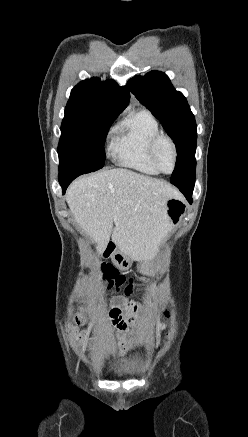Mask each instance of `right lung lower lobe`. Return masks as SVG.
Returning a JSON list of instances; mask_svg holds the SVG:
<instances>
[{
    "label": "right lung lower lobe",
    "mask_w": 248,
    "mask_h": 437,
    "mask_svg": "<svg viewBox=\"0 0 248 437\" xmlns=\"http://www.w3.org/2000/svg\"><path fill=\"white\" fill-rule=\"evenodd\" d=\"M82 172H67V173H59V183L62 187L63 193H65L68 185L79 175H81Z\"/></svg>",
    "instance_id": "1"
}]
</instances>
